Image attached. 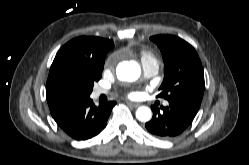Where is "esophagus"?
<instances>
[{
	"label": "esophagus",
	"instance_id": "34e87169",
	"mask_svg": "<svg viewBox=\"0 0 249 165\" xmlns=\"http://www.w3.org/2000/svg\"><path fill=\"white\" fill-rule=\"evenodd\" d=\"M127 104L130 106V107H134V108H137L139 107V103H134V102H127Z\"/></svg>",
	"mask_w": 249,
	"mask_h": 165
}]
</instances>
